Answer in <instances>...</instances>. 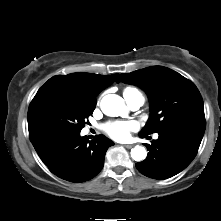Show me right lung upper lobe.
<instances>
[{
    "label": "right lung upper lobe",
    "mask_w": 221,
    "mask_h": 221,
    "mask_svg": "<svg viewBox=\"0 0 221 221\" xmlns=\"http://www.w3.org/2000/svg\"><path fill=\"white\" fill-rule=\"evenodd\" d=\"M118 74L97 75L92 73H72L50 78L39 92L51 89L70 92L87 103L96 104V96L110 86Z\"/></svg>",
    "instance_id": "right-lung-upper-lobe-1"
}]
</instances>
